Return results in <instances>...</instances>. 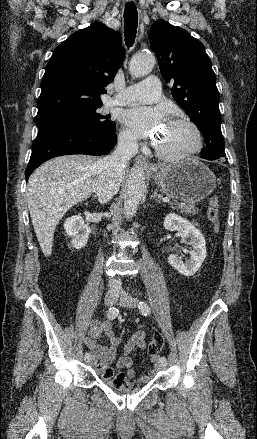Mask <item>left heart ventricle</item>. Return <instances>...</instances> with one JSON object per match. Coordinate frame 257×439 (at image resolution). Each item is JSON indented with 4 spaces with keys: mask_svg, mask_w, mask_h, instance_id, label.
I'll list each match as a JSON object with an SVG mask.
<instances>
[{
    "mask_svg": "<svg viewBox=\"0 0 257 439\" xmlns=\"http://www.w3.org/2000/svg\"><path fill=\"white\" fill-rule=\"evenodd\" d=\"M157 145L164 151L178 153L193 148L195 139L189 127L167 124L158 139Z\"/></svg>",
    "mask_w": 257,
    "mask_h": 439,
    "instance_id": "left-heart-ventricle-1",
    "label": "left heart ventricle"
}]
</instances>
